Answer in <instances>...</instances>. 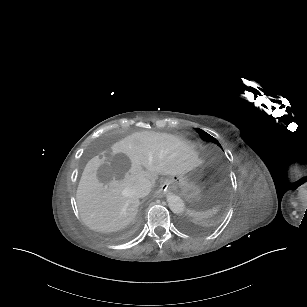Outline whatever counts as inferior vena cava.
I'll list each match as a JSON object with an SVG mask.
<instances>
[{
    "instance_id": "1",
    "label": "inferior vena cava",
    "mask_w": 307,
    "mask_h": 307,
    "mask_svg": "<svg viewBox=\"0 0 307 307\" xmlns=\"http://www.w3.org/2000/svg\"><path fill=\"white\" fill-rule=\"evenodd\" d=\"M151 188V181L147 178H142L133 185L132 190L137 197L142 198L150 193Z\"/></svg>"
}]
</instances>
